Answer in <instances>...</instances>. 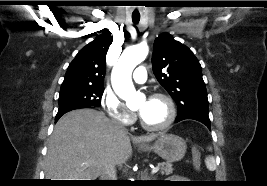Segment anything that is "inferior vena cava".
Here are the masks:
<instances>
[{
	"label": "inferior vena cava",
	"instance_id": "1",
	"mask_svg": "<svg viewBox=\"0 0 267 186\" xmlns=\"http://www.w3.org/2000/svg\"><path fill=\"white\" fill-rule=\"evenodd\" d=\"M118 130L121 132H128L126 127L121 123H116ZM101 180H117L116 179V168L114 164H109L105 171L101 174Z\"/></svg>",
	"mask_w": 267,
	"mask_h": 186
}]
</instances>
